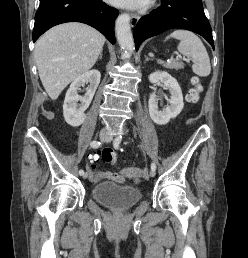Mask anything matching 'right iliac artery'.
Wrapping results in <instances>:
<instances>
[{
    "label": "right iliac artery",
    "mask_w": 248,
    "mask_h": 258,
    "mask_svg": "<svg viewBox=\"0 0 248 258\" xmlns=\"http://www.w3.org/2000/svg\"><path fill=\"white\" fill-rule=\"evenodd\" d=\"M102 145V143L100 142V141H96V140H93L91 143H90V146L92 147V148H98V147H100ZM79 174L80 175H84V170H80L79 171Z\"/></svg>",
    "instance_id": "1"
}]
</instances>
